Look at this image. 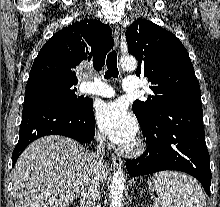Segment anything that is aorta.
<instances>
[{
  "label": "aorta",
  "mask_w": 220,
  "mask_h": 207,
  "mask_svg": "<svg viewBox=\"0 0 220 207\" xmlns=\"http://www.w3.org/2000/svg\"><path fill=\"white\" fill-rule=\"evenodd\" d=\"M120 66L122 69L127 71H134L137 68V60L132 56H125L120 59ZM125 189V177L121 168H118L117 171L113 174L110 192H109V201L110 207H122V197Z\"/></svg>",
  "instance_id": "1"
}]
</instances>
